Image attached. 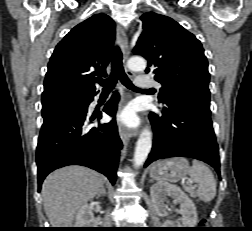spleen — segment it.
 Listing matches in <instances>:
<instances>
[{
    "label": "spleen",
    "mask_w": 252,
    "mask_h": 231,
    "mask_svg": "<svg viewBox=\"0 0 252 231\" xmlns=\"http://www.w3.org/2000/svg\"><path fill=\"white\" fill-rule=\"evenodd\" d=\"M190 177L192 181L198 184L197 196L200 200L210 202L216 196V181L206 165L194 160Z\"/></svg>",
    "instance_id": "1"
}]
</instances>
